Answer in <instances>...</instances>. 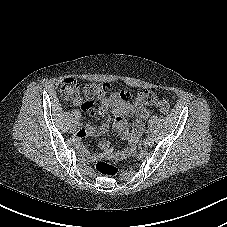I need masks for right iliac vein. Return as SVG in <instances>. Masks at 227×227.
I'll list each match as a JSON object with an SVG mask.
<instances>
[{"instance_id":"1","label":"right iliac vein","mask_w":227,"mask_h":227,"mask_svg":"<svg viewBox=\"0 0 227 227\" xmlns=\"http://www.w3.org/2000/svg\"><path fill=\"white\" fill-rule=\"evenodd\" d=\"M76 131H77V127H76V126H74V127L71 128V132H72L73 134L76 133Z\"/></svg>"}]
</instances>
